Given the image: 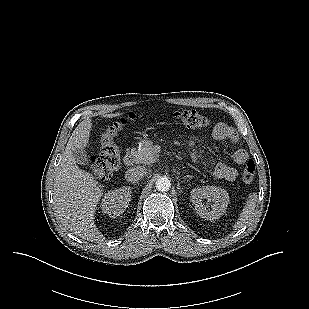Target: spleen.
I'll return each instance as SVG.
<instances>
[{
    "mask_svg": "<svg viewBox=\"0 0 309 309\" xmlns=\"http://www.w3.org/2000/svg\"><path fill=\"white\" fill-rule=\"evenodd\" d=\"M257 199H258L257 193L249 194L245 206L243 207L240 213L238 221L233 226L235 230L242 227L252 217L256 207Z\"/></svg>",
    "mask_w": 309,
    "mask_h": 309,
    "instance_id": "spleen-1",
    "label": "spleen"
}]
</instances>
